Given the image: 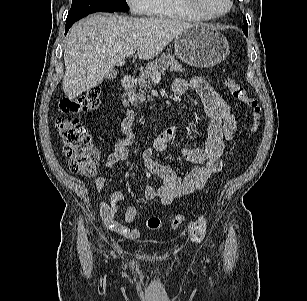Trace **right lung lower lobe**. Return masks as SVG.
Segmentation results:
<instances>
[{
  "mask_svg": "<svg viewBox=\"0 0 307 301\" xmlns=\"http://www.w3.org/2000/svg\"><path fill=\"white\" fill-rule=\"evenodd\" d=\"M77 20H79V19H75V20H71V21H67V22H66L65 35H66L67 31L69 30V28L71 27V25H72L74 22H76Z\"/></svg>",
  "mask_w": 307,
  "mask_h": 301,
  "instance_id": "right-lung-lower-lobe-1",
  "label": "right lung lower lobe"
}]
</instances>
